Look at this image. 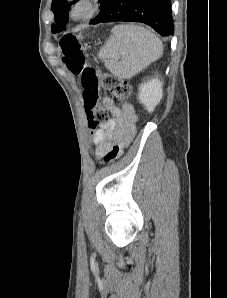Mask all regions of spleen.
I'll return each mask as SVG.
<instances>
[{
  "label": "spleen",
  "mask_w": 227,
  "mask_h": 298,
  "mask_svg": "<svg viewBox=\"0 0 227 298\" xmlns=\"http://www.w3.org/2000/svg\"><path fill=\"white\" fill-rule=\"evenodd\" d=\"M101 47L98 58L120 79H129L163 54V44L153 32L133 24H121Z\"/></svg>",
  "instance_id": "1"
}]
</instances>
